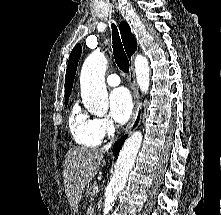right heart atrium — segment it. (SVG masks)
Here are the masks:
<instances>
[{"label":"right heart atrium","instance_id":"right-heart-atrium-1","mask_svg":"<svg viewBox=\"0 0 221 215\" xmlns=\"http://www.w3.org/2000/svg\"><path fill=\"white\" fill-rule=\"evenodd\" d=\"M94 130L99 138L113 136L116 132V126L114 122L108 117L94 118Z\"/></svg>","mask_w":221,"mask_h":215}]
</instances>
